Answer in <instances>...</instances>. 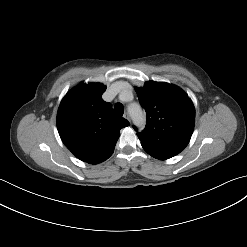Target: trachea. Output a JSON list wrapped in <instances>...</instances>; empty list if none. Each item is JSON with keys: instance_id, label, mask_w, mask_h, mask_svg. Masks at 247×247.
I'll return each instance as SVG.
<instances>
[{"instance_id": "3493384b", "label": "trachea", "mask_w": 247, "mask_h": 247, "mask_svg": "<svg viewBox=\"0 0 247 247\" xmlns=\"http://www.w3.org/2000/svg\"><path fill=\"white\" fill-rule=\"evenodd\" d=\"M114 112L117 116L121 117L124 113V107L121 104H116L114 106Z\"/></svg>"}]
</instances>
